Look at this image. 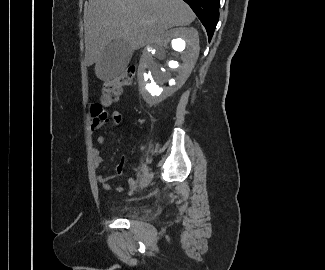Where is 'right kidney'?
Segmentation results:
<instances>
[{
    "label": "right kidney",
    "instance_id": "right-kidney-1",
    "mask_svg": "<svg viewBox=\"0 0 325 270\" xmlns=\"http://www.w3.org/2000/svg\"><path fill=\"white\" fill-rule=\"evenodd\" d=\"M199 50V36L194 28L171 29L156 43L148 45L137 74L139 90L146 103L155 105L177 91L191 74Z\"/></svg>",
    "mask_w": 325,
    "mask_h": 270
}]
</instances>
